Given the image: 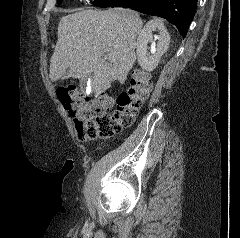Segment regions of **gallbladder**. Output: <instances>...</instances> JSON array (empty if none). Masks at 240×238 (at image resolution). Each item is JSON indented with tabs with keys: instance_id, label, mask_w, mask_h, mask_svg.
Listing matches in <instances>:
<instances>
[{
	"instance_id": "obj_1",
	"label": "gallbladder",
	"mask_w": 240,
	"mask_h": 238,
	"mask_svg": "<svg viewBox=\"0 0 240 238\" xmlns=\"http://www.w3.org/2000/svg\"><path fill=\"white\" fill-rule=\"evenodd\" d=\"M80 87L84 90L86 88V81L81 82Z\"/></svg>"
}]
</instances>
